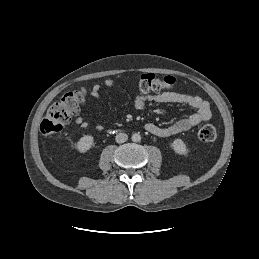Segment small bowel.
I'll use <instances>...</instances> for the list:
<instances>
[{"mask_svg": "<svg viewBox=\"0 0 259 259\" xmlns=\"http://www.w3.org/2000/svg\"><path fill=\"white\" fill-rule=\"evenodd\" d=\"M104 85L106 88L111 89L114 86V81L108 78L104 81ZM100 91V85L95 84L91 93L94 97L99 98ZM147 102L182 104L194 109L192 114L181 118L168 126H158L154 123L145 124L146 131L158 137H170L178 133L188 131L196 125L208 121L212 116L210 105L206 100L202 99L200 96L185 92H163L157 94L137 95L134 98V107L142 109L145 107ZM75 122L82 128H87L89 126V122L80 115L75 117ZM96 128L97 130H101L102 126L97 125Z\"/></svg>", "mask_w": 259, "mask_h": 259, "instance_id": "c3829d8e", "label": "small bowel"}]
</instances>
